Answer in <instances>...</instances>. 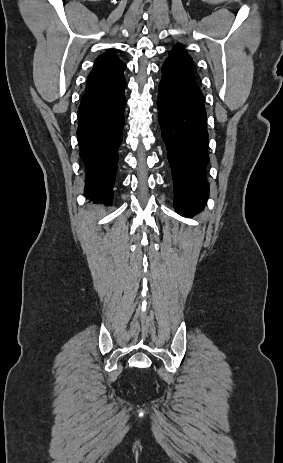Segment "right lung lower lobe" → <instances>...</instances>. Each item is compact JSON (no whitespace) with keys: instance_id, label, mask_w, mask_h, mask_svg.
<instances>
[{"instance_id":"right-lung-lower-lobe-1","label":"right lung lower lobe","mask_w":283,"mask_h":463,"mask_svg":"<svg viewBox=\"0 0 283 463\" xmlns=\"http://www.w3.org/2000/svg\"><path fill=\"white\" fill-rule=\"evenodd\" d=\"M124 76L86 90L78 109L77 138L87 178L85 192L94 202L109 203L118 166L117 148L122 141Z\"/></svg>"}]
</instances>
